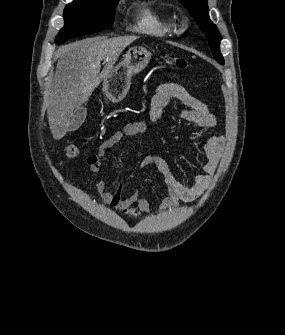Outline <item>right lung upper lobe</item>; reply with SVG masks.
Here are the masks:
<instances>
[{
  "label": "right lung upper lobe",
  "instance_id": "cb5924a9",
  "mask_svg": "<svg viewBox=\"0 0 285 335\" xmlns=\"http://www.w3.org/2000/svg\"><path fill=\"white\" fill-rule=\"evenodd\" d=\"M99 1H103L105 3H118L119 0H99Z\"/></svg>",
  "mask_w": 285,
  "mask_h": 335
}]
</instances>
